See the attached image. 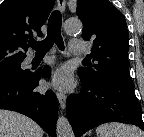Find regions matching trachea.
<instances>
[{"instance_id": "obj_1", "label": "trachea", "mask_w": 144, "mask_h": 137, "mask_svg": "<svg viewBox=\"0 0 144 137\" xmlns=\"http://www.w3.org/2000/svg\"><path fill=\"white\" fill-rule=\"evenodd\" d=\"M61 25L62 15L58 10H55L52 12L48 21L47 37L42 41L30 40L28 45L36 51V54L47 53L54 43L60 50H64Z\"/></svg>"}]
</instances>
